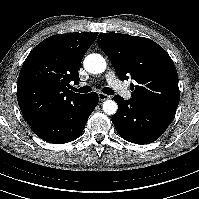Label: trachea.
I'll list each match as a JSON object with an SVG mask.
<instances>
[{
  "label": "trachea",
  "instance_id": "3493384b",
  "mask_svg": "<svg viewBox=\"0 0 199 199\" xmlns=\"http://www.w3.org/2000/svg\"><path fill=\"white\" fill-rule=\"evenodd\" d=\"M73 90H74L75 92L88 93V92H90L92 89H91L90 86H83V87H81V88H79V89H73ZM102 92L105 93V94H107V95H113V94H114V91H113L111 88H109V87H104V88L102 89Z\"/></svg>",
  "mask_w": 199,
  "mask_h": 199
}]
</instances>
